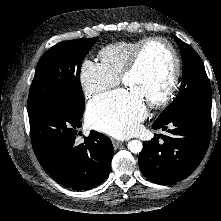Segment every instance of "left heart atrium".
I'll return each mask as SVG.
<instances>
[{
	"label": "left heart atrium",
	"mask_w": 221,
	"mask_h": 221,
	"mask_svg": "<svg viewBox=\"0 0 221 221\" xmlns=\"http://www.w3.org/2000/svg\"><path fill=\"white\" fill-rule=\"evenodd\" d=\"M145 115V102L130 89L103 94L91 101L87 109L91 126L118 139L135 134Z\"/></svg>",
	"instance_id": "1"
}]
</instances>
